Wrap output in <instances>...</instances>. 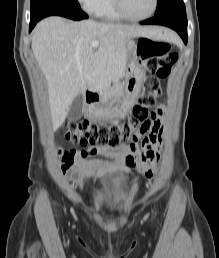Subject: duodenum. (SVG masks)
I'll return each mask as SVG.
<instances>
[{
	"label": "duodenum",
	"instance_id": "1",
	"mask_svg": "<svg viewBox=\"0 0 219 258\" xmlns=\"http://www.w3.org/2000/svg\"><path fill=\"white\" fill-rule=\"evenodd\" d=\"M99 97H100L99 93L96 90L91 89V88H88L86 90V99H87L88 103H90V104L98 103Z\"/></svg>",
	"mask_w": 219,
	"mask_h": 258
}]
</instances>
